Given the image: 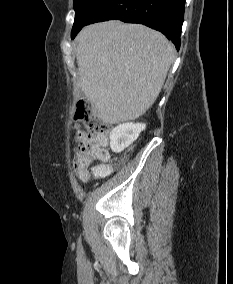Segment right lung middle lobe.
Returning a JSON list of instances; mask_svg holds the SVG:
<instances>
[{
    "label": "right lung middle lobe",
    "mask_w": 233,
    "mask_h": 284,
    "mask_svg": "<svg viewBox=\"0 0 233 284\" xmlns=\"http://www.w3.org/2000/svg\"><path fill=\"white\" fill-rule=\"evenodd\" d=\"M109 0H74L75 21L72 34L81 29Z\"/></svg>",
    "instance_id": "obj_1"
}]
</instances>
